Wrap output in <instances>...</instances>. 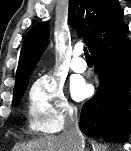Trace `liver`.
I'll return each mask as SVG.
<instances>
[{
    "mask_svg": "<svg viewBox=\"0 0 131 151\" xmlns=\"http://www.w3.org/2000/svg\"><path fill=\"white\" fill-rule=\"evenodd\" d=\"M13 151H73V146L62 135H54L16 145Z\"/></svg>",
    "mask_w": 131,
    "mask_h": 151,
    "instance_id": "obj_1",
    "label": "liver"
}]
</instances>
